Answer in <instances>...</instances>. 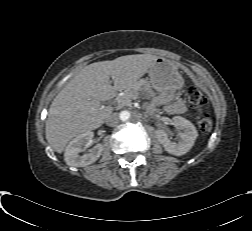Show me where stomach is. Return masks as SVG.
<instances>
[{
	"mask_svg": "<svg viewBox=\"0 0 252 231\" xmlns=\"http://www.w3.org/2000/svg\"><path fill=\"white\" fill-rule=\"evenodd\" d=\"M150 84L158 92H177L183 80L177 68L164 58H158L149 70Z\"/></svg>",
	"mask_w": 252,
	"mask_h": 231,
	"instance_id": "stomach-1",
	"label": "stomach"
}]
</instances>
